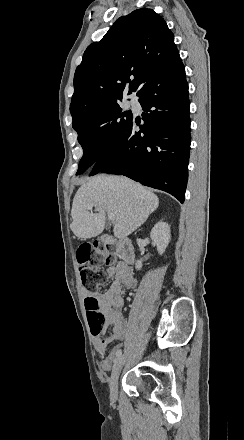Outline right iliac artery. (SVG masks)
Here are the masks:
<instances>
[{"instance_id": "82829eb1", "label": "right iliac artery", "mask_w": 244, "mask_h": 440, "mask_svg": "<svg viewBox=\"0 0 244 440\" xmlns=\"http://www.w3.org/2000/svg\"><path fill=\"white\" fill-rule=\"evenodd\" d=\"M121 354H122V351H121V350H118V351L116 352V357L121 356Z\"/></svg>"}]
</instances>
